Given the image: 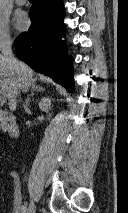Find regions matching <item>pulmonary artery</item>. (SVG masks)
<instances>
[{
  "mask_svg": "<svg viewBox=\"0 0 128 213\" xmlns=\"http://www.w3.org/2000/svg\"><path fill=\"white\" fill-rule=\"evenodd\" d=\"M15 2L18 4V5H25L27 0H15Z\"/></svg>",
  "mask_w": 128,
  "mask_h": 213,
  "instance_id": "1",
  "label": "pulmonary artery"
}]
</instances>
